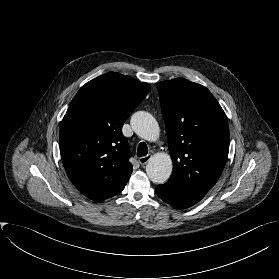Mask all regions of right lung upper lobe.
Wrapping results in <instances>:
<instances>
[{"label": "right lung upper lobe", "instance_id": "right-lung-upper-lobe-1", "mask_svg": "<svg viewBox=\"0 0 279 279\" xmlns=\"http://www.w3.org/2000/svg\"><path fill=\"white\" fill-rule=\"evenodd\" d=\"M149 90L148 83L108 72L83 85L71 101L59 146L65 170L83 195L102 201L124 189L133 169L122 126Z\"/></svg>", "mask_w": 279, "mask_h": 279}]
</instances>
